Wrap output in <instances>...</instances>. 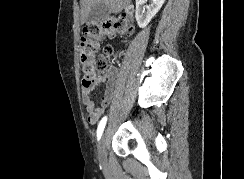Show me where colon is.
<instances>
[{
    "label": "colon",
    "instance_id": "5ec220e1",
    "mask_svg": "<svg viewBox=\"0 0 244 179\" xmlns=\"http://www.w3.org/2000/svg\"><path fill=\"white\" fill-rule=\"evenodd\" d=\"M99 26L84 25L81 29V40L78 46L80 68L83 73V86L94 89L103 78L108 68L106 56L114 53L111 46L104 49L105 56L99 55V41L108 34H118L129 31L130 26L124 19H109L99 22Z\"/></svg>",
    "mask_w": 244,
    "mask_h": 179
}]
</instances>
